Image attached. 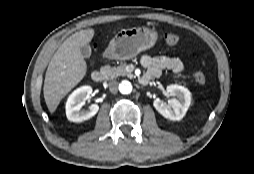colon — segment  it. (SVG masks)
<instances>
[{"instance_id": "colon-1", "label": "colon", "mask_w": 254, "mask_h": 174, "mask_svg": "<svg viewBox=\"0 0 254 174\" xmlns=\"http://www.w3.org/2000/svg\"><path fill=\"white\" fill-rule=\"evenodd\" d=\"M164 39L168 45H176L180 41V35L175 31H167ZM194 78L199 84H205L207 81L206 75L200 70L194 72Z\"/></svg>"}]
</instances>
